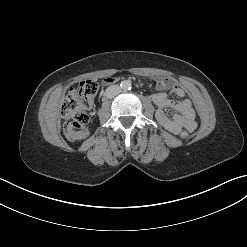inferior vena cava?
I'll return each mask as SVG.
<instances>
[{
    "label": "inferior vena cava",
    "mask_w": 247,
    "mask_h": 247,
    "mask_svg": "<svg viewBox=\"0 0 247 247\" xmlns=\"http://www.w3.org/2000/svg\"><path fill=\"white\" fill-rule=\"evenodd\" d=\"M120 92H121V87L120 86L111 85L106 89L105 96L107 98H113V97L117 96L118 94H120Z\"/></svg>",
    "instance_id": "602c4592"
}]
</instances>
